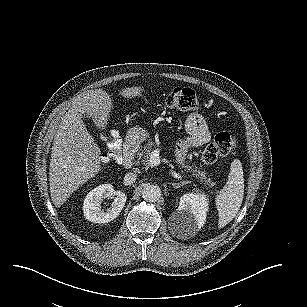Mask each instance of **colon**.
Returning a JSON list of instances; mask_svg holds the SVG:
<instances>
[{"label":"colon","instance_id":"obj_1","mask_svg":"<svg viewBox=\"0 0 307 307\" xmlns=\"http://www.w3.org/2000/svg\"><path fill=\"white\" fill-rule=\"evenodd\" d=\"M168 107L180 111L191 112L199 108V102L194 90L184 87H176L170 91L165 99ZM109 152L105 155V161L118 160L120 158V141L116 134L107 136ZM238 146V138L227 132L218 133L213 141L208 144L201 153V160L210 164L217 159L228 156Z\"/></svg>","mask_w":307,"mask_h":307}]
</instances>
